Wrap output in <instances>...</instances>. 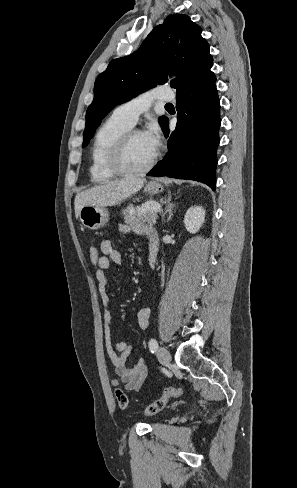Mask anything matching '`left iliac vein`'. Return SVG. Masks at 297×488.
Returning a JSON list of instances; mask_svg holds the SVG:
<instances>
[{"label": "left iliac vein", "mask_w": 297, "mask_h": 488, "mask_svg": "<svg viewBox=\"0 0 297 488\" xmlns=\"http://www.w3.org/2000/svg\"><path fill=\"white\" fill-rule=\"evenodd\" d=\"M156 356L160 363L162 364H168L171 361V355L170 353L163 347H159L156 351Z\"/></svg>", "instance_id": "1"}]
</instances>
